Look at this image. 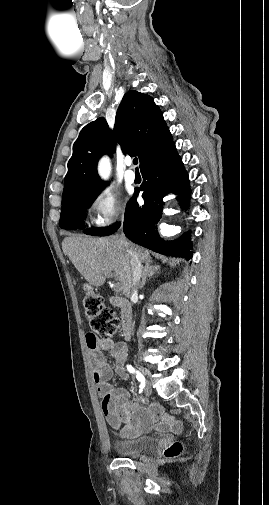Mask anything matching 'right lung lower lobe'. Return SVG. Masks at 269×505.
<instances>
[{
    "label": "right lung lower lobe",
    "instance_id": "98d812e1",
    "mask_svg": "<svg viewBox=\"0 0 269 505\" xmlns=\"http://www.w3.org/2000/svg\"><path fill=\"white\" fill-rule=\"evenodd\" d=\"M143 176L142 197L144 205L140 206L135 196L126 206L124 216V233L128 239L167 256L192 258V244L187 233L176 241L166 242L155 231V225L161 218L162 198L168 193H179L180 204L188 206L190 185L175 144L171 142L140 168Z\"/></svg>",
    "mask_w": 269,
    "mask_h": 505
}]
</instances>
